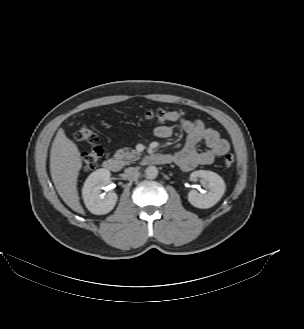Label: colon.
Here are the masks:
<instances>
[{"label":"colon","mask_w":304,"mask_h":329,"mask_svg":"<svg viewBox=\"0 0 304 329\" xmlns=\"http://www.w3.org/2000/svg\"><path fill=\"white\" fill-rule=\"evenodd\" d=\"M145 120L151 123L164 124L184 119L185 111H168L157 109L147 111L143 114ZM75 140L91 145V149L85 153L82 158L81 168L84 172L92 171L96 168L100 158L103 155V149L99 144L98 134L93 126L82 125L75 132ZM235 162V157L232 153H226L224 163L226 166H232Z\"/></svg>","instance_id":"colon-1"}]
</instances>
